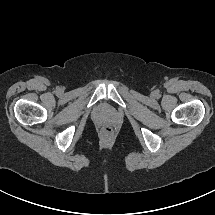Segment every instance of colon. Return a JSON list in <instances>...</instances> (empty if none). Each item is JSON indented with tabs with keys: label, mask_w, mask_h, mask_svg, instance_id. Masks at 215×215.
<instances>
[{
	"label": "colon",
	"mask_w": 215,
	"mask_h": 215,
	"mask_svg": "<svg viewBox=\"0 0 215 215\" xmlns=\"http://www.w3.org/2000/svg\"><path fill=\"white\" fill-rule=\"evenodd\" d=\"M104 130L105 132L110 133L112 131V128L110 126H106Z\"/></svg>",
	"instance_id": "colon-1"
}]
</instances>
